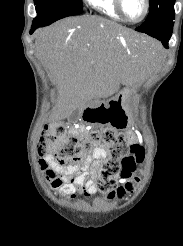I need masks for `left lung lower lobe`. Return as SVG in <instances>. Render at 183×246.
<instances>
[{"instance_id": "obj_1", "label": "left lung lower lobe", "mask_w": 183, "mask_h": 246, "mask_svg": "<svg viewBox=\"0 0 183 246\" xmlns=\"http://www.w3.org/2000/svg\"><path fill=\"white\" fill-rule=\"evenodd\" d=\"M172 30H173V24L151 32H147L146 34L160 40L163 46L165 48H168V42L171 38Z\"/></svg>"}]
</instances>
